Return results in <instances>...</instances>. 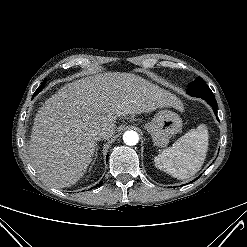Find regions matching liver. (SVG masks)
Here are the masks:
<instances>
[{
  "label": "liver",
  "instance_id": "liver-1",
  "mask_svg": "<svg viewBox=\"0 0 247 247\" xmlns=\"http://www.w3.org/2000/svg\"><path fill=\"white\" fill-rule=\"evenodd\" d=\"M162 107L181 109L176 95L130 73H100L66 84L38 110L28 147L31 164L54 188L85 174L97 149L95 130L111 138L116 119Z\"/></svg>",
  "mask_w": 247,
  "mask_h": 247
}]
</instances>
